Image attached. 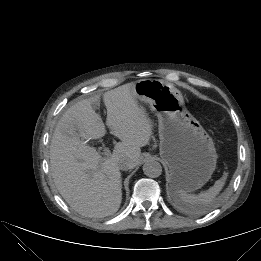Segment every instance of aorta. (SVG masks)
Returning a JSON list of instances; mask_svg holds the SVG:
<instances>
[{"label": "aorta", "mask_w": 261, "mask_h": 261, "mask_svg": "<svg viewBox=\"0 0 261 261\" xmlns=\"http://www.w3.org/2000/svg\"><path fill=\"white\" fill-rule=\"evenodd\" d=\"M143 172L150 178H157L162 174V166L158 161L148 160L143 165Z\"/></svg>", "instance_id": "obj_1"}]
</instances>
